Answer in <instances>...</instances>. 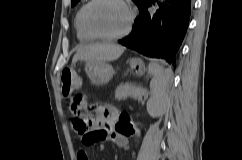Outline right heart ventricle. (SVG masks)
Masks as SVG:
<instances>
[{"instance_id": "right-heart-ventricle-1", "label": "right heart ventricle", "mask_w": 242, "mask_h": 160, "mask_svg": "<svg viewBox=\"0 0 242 160\" xmlns=\"http://www.w3.org/2000/svg\"><path fill=\"white\" fill-rule=\"evenodd\" d=\"M86 2H84L79 9L76 12L75 18H74V26H75V31L76 35L79 41L81 42H88L92 41L95 38L91 36L85 29L82 21V16H83V11L86 6Z\"/></svg>"}]
</instances>
